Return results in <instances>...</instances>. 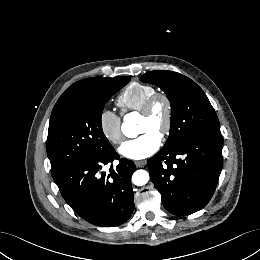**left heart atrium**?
I'll use <instances>...</instances> for the list:
<instances>
[{
  "label": "left heart atrium",
  "mask_w": 260,
  "mask_h": 260,
  "mask_svg": "<svg viewBox=\"0 0 260 260\" xmlns=\"http://www.w3.org/2000/svg\"><path fill=\"white\" fill-rule=\"evenodd\" d=\"M161 146V137L153 131L125 141L119 148L122 156L132 160H142L153 155Z\"/></svg>",
  "instance_id": "left-heart-atrium-1"
}]
</instances>
